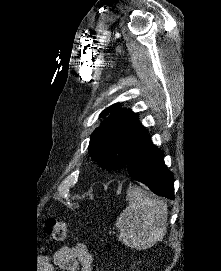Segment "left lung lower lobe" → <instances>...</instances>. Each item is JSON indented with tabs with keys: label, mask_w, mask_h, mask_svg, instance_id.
<instances>
[{
	"label": "left lung lower lobe",
	"mask_w": 221,
	"mask_h": 271,
	"mask_svg": "<svg viewBox=\"0 0 221 271\" xmlns=\"http://www.w3.org/2000/svg\"><path fill=\"white\" fill-rule=\"evenodd\" d=\"M126 170L136 181L148 186L157 195L175 199L174 179L163 161V152L148 137L129 158Z\"/></svg>",
	"instance_id": "0a47b994"
}]
</instances>
